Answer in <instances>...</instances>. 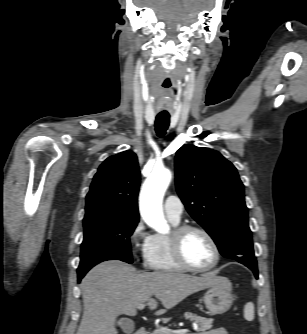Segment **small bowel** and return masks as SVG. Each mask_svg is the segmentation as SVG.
Wrapping results in <instances>:
<instances>
[{"instance_id":"small-bowel-1","label":"small bowel","mask_w":307,"mask_h":334,"mask_svg":"<svg viewBox=\"0 0 307 334\" xmlns=\"http://www.w3.org/2000/svg\"><path fill=\"white\" fill-rule=\"evenodd\" d=\"M201 334H228L225 328H216L212 329L206 332H203Z\"/></svg>"}]
</instances>
